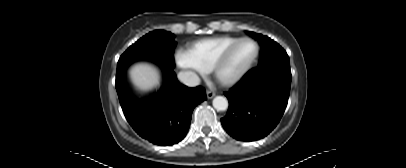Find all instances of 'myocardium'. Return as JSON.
<instances>
[{
  "mask_svg": "<svg viewBox=\"0 0 406 168\" xmlns=\"http://www.w3.org/2000/svg\"><path fill=\"white\" fill-rule=\"evenodd\" d=\"M243 42H249L253 44L254 46V54L253 56L249 59V61L242 67L240 68L236 73H234L231 76L224 77L222 75V71L228 62L229 58L231 57L232 53L235 51L238 45H240ZM259 55V47L257 43L250 39V38H239L235 42H233L231 45H229L216 59L211 72L213 74V77L215 81L220 84L221 86L224 87H230L238 83L243 76L249 71V69L252 67V65L255 63L257 57Z\"/></svg>",
  "mask_w": 406,
  "mask_h": 168,
  "instance_id": "myocardium-1",
  "label": "myocardium"
}]
</instances>
